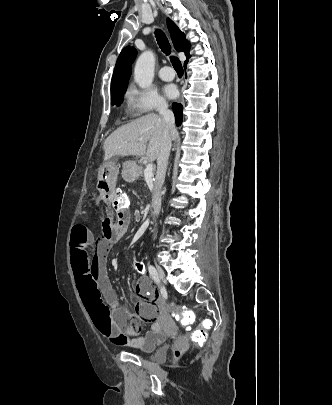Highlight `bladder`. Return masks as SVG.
<instances>
[{"label":"bladder","mask_w":332,"mask_h":405,"mask_svg":"<svg viewBox=\"0 0 332 405\" xmlns=\"http://www.w3.org/2000/svg\"><path fill=\"white\" fill-rule=\"evenodd\" d=\"M167 339V335L165 333L161 334V341L157 342L156 344L149 346V347H144L140 349V352L142 353H151V359L154 362L157 363H162L165 362L167 359V354H168V348L165 344Z\"/></svg>","instance_id":"1"}]
</instances>
